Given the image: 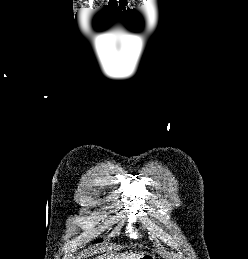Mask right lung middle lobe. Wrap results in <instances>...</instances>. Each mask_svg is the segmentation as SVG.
<instances>
[{
	"label": "right lung middle lobe",
	"mask_w": 248,
	"mask_h": 259,
	"mask_svg": "<svg viewBox=\"0 0 248 259\" xmlns=\"http://www.w3.org/2000/svg\"><path fill=\"white\" fill-rule=\"evenodd\" d=\"M101 241H102V240H96L95 243H99V242H101Z\"/></svg>",
	"instance_id": "1"
}]
</instances>
